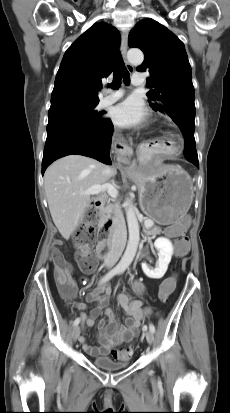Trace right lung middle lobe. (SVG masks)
Returning <instances> with one entry per match:
<instances>
[{
    "mask_svg": "<svg viewBox=\"0 0 230 413\" xmlns=\"http://www.w3.org/2000/svg\"><path fill=\"white\" fill-rule=\"evenodd\" d=\"M97 104H68L50 108L47 133L60 128L99 127L106 122Z\"/></svg>",
    "mask_w": 230,
    "mask_h": 413,
    "instance_id": "obj_1",
    "label": "right lung middle lobe"
}]
</instances>
